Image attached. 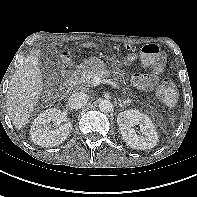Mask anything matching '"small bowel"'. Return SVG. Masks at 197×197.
Instances as JSON below:
<instances>
[{
    "mask_svg": "<svg viewBox=\"0 0 197 197\" xmlns=\"http://www.w3.org/2000/svg\"><path fill=\"white\" fill-rule=\"evenodd\" d=\"M134 85L143 91L151 90L157 83V77L147 74H135L133 76Z\"/></svg>",
    "mask_w": 197,
    "mask_h": 197,
    "instance_id": "c3829d8e",
    "label": "small bowel"
}]
</instances>
